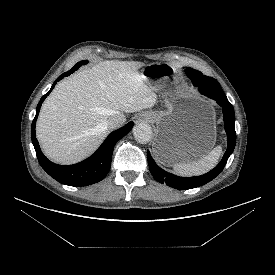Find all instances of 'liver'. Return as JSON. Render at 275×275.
I'll return each mask as SVG.
<instances>
[{
	"label": "liver",
	"instance_id": "liver-1",
	"mask_svg": "<svg viewBox=\"0 0 275 275\" xmlns=\"http://www.w3.org/2000/svg\"><path fill=\"white\" fill-rule=\"evenodd\" d=\"M141 62L101 61L61 81L42 105L36 134L44 154L60 164L93 153L109 132L107 120L150 108L156 94Z\"/></svg>",
	"mask_w": 275,
	"mask_h": 275
}]
</instances>
